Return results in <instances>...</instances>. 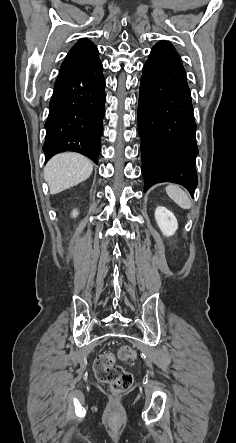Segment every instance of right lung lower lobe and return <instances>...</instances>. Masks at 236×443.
Instances as JSON below:
<instances>
[{"instance_id":"obj_1","label":"right lung lower lobe","mask_w":236,"mask_h":443,"mask_svg":"<svg viewBox=\"0 0 236 443\" xmlns=\"http://www.w3.org/2000/svg\"><path fill=\"white\" fill-rule=\"evenodd\" d=\"M102 70L100 61L62 63L45 123L46 161L60 152L74 151L98 163L105 104Z\"/></svg>"}]
</instances>
